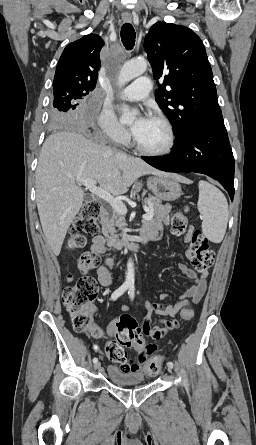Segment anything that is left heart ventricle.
Listing matches in <instances>:
<instances>
[{
  "label": "left heart ventricle",
  "instance_id": "1",
  "mask_svg": "<svg viewBox=\"0 0 256 445\" xmlns=\"http://www.w3.org/2000/svg\"><path fill=\"white\" fill-rule=\"evenodd\" d=\"M134 136L140 145L150 150L162 149L168 141L165 127L152 119H148L141 130Z\"/></svg>",
  "mask_w": 256,
  "mask_h": 445
}]
</instances>
